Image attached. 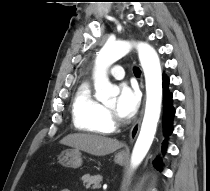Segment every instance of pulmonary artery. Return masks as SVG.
Returning <instances> with one entry per match:
<instances>
[{"label": "pulmonary artery", "instance_id": "obj_1", "mask_svg": "<svg viewBox=\"0 0 210 191\" xmlns=\"http://www.w3.org/2000/svg\"><path fill=\"white\" fill-rule=\"evenodd\" d=\"M110 74L115 79H122L125 76L124 69L121 66H115L111 69Z\"/></svg>", "mask_w": 210, "mask_h": 191}]
</instances>
